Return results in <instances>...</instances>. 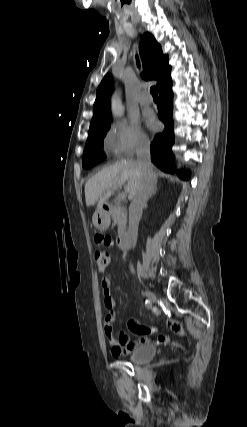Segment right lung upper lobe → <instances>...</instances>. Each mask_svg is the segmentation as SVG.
Returning a JSON list of instances; mask_svg holds the SVG:
<instances>
[{
    "label": "right lung upper lobe",
    "instance_id": "cb5924a9",
    "mask_svg": "<svg viewBox=\"0 0 247 427\" xmlns=\"http://www.w3.org/2000/svg\"><path fill=\"white\" fill-rule=\"evenodd\" d=\"M140 54L144 67V72L142 73L144 79L157 80L158 89L171 80V66L168 64V57L163 55L161 46L150 33H145L141 38ZM112 90V77L106 75L97 89L90 129L111 120L110 95Z\"/></svg>",
    "mask_w": 247,
    "mask_h": 427
}]
</instances>
